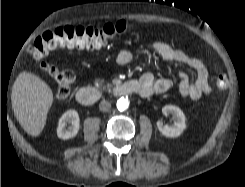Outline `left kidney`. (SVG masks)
<instances>
[{
    "instance_id": "left-kidney-1",
    "label": "left kidney",
    "mask_w": 245,
    "mask_h": 187,
    "mask_svg": "<svg viewBox=\"0 0 245 187\" xmlns=\"http://www.w3.org/2000/svg\"><path fill=\"white\" fill-rule=\"evenodd\" d=\"M165 116L171 114L174 116L175 121L172 125H165L161 120L157 122L159 132L168 138L179 137L186 129V117L182 110L174 105H166L162 108Z\"/></svg>"
}]
</instances>
